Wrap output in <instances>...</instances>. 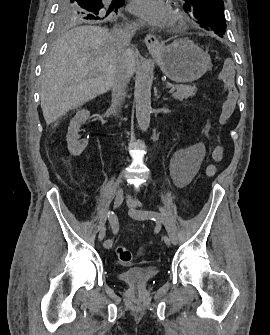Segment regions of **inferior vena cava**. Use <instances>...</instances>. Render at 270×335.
<instances>
[{
	"mask_svg": "<svg viewBox=\"0 0 270 335\" xmlns=\"http://www.w3.org/2000/svg\"><path fill=\"white\" fill-rule=\"evenodd\" d=\"M136 24H126L122 28H113L112 36L115 38L119 46H129L135 32ZM130 76L126 74V70H116L111 78L112 84V106H121L129 82Z\"/></svg>",
	"mask_w": 270,
	"mask_h": 335,
	"instance_id": "inferior-vena-cava-1",
	"label": "inferior vena cava"
}]
</instances>
